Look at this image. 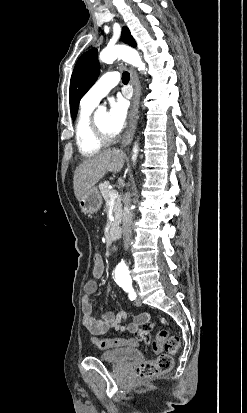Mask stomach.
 <instances>
[{
  "label": "stomach",
  "instance_id": "0dacf381",
  "mask_svg": "<svg viewBox=\"0 0 247 413\" xmlns=\"http://www.w3.org/2000/svg\"><path fill=\"white\" fill-rule=\"evenodd\" d=\"M102 202V196L98 188L93 186V188H90L84 196H81L79 200V207L84 215H93V213H97V211H99Z\"/></svg>",
  "mask_w": 247,
  "mask_h": 413
}]
</instances>
